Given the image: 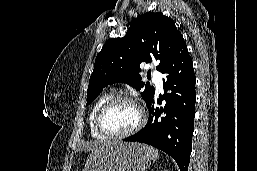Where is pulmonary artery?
Listing matches in <instances>:
<instances>
[{
  "label": "pulmonary artery",
  "mask_w": 257,
  "mask_h": 171,
  "mask_svg": "<svg viewBox=\"0 0 257 171\" xmlns=\"http://www.w3.org/2000/svg\"><path fill=\"white\" fill-rule=\"evenodd\" d=\"M152 78H153V82L156 86L157 93H161L163 91L162 74L157 71H153Z\"/></svg>",
  "instance_id": "pulmonary-artery-1"
}]
</instances>
